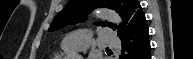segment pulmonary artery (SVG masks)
Segmentation results:
<instances>
[{
	"mask_svg": "<svg viewBox=\"0 0 193 59\" xmlns=\"http://www.w3.org/2000/svg\"><path fill=\"white\" fill-rule=\"evenodd\" d=\"M93 40V35L87 30H81L74 33H68L62 43V49L65 51H79L86 49ZM110 46H121V40L116 34H106L100 39Z\"/></svg>",
	"mask_w": 193,
	"mask_h": 59,
	"instance_id": "obj_1",
	"label": "pulmonary artery"
}]
</instances>
